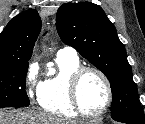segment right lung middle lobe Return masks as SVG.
<instances>
[{"label":"right lung middle lobe","instance_id":"obj_1","mask_svg":"<svg viewBox=\"0 0 145 124\" xmlns=\"http://www.w3.org/2000/svg\"><path fill=\"white\" fill-rule=\"evenodd\" d=\"M28 61L0 65V108L29 105L25 91Z\"/></svg>","mask_w":145,"mask_h":124}]
</instances>
